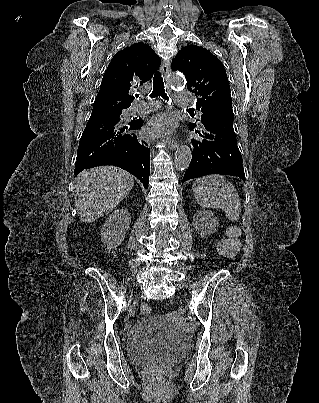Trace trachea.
Instances as JSON below:
<instances>
[{
    "mask_svg": "<svg viewBox=\"0 0 319 403\" xmlns=\"http://www.w3.org/2000/svg\"><path fill=\"white\" fill-rule=\"evenodd\" d=\"M161 96L164 100L168 101V96L165 93V89H164V82H163V78L161 76L160 72H156L154 74V78H153V91L150 94L151 98H155ZM136 97H139L138 94H136Z\"/></svg>",
    "mask_w": 319,
    "mask_h": 403,
    "instance_id": "obj_1",
    "label": "trachea"
}]
</instances>
